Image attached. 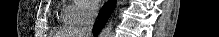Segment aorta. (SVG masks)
Listing matches in <instances>:
<instances>
[{"label":"aorta","instance_id":"obj_1","mask_svg":"<svg viewBox=\"0 0 219 37\" xmlns=\"http://www.w3.org/2000/svg\"><path fill=\"white\" fill-rule=\"evenodd\" d=\"M113 21H109L100 33V37H113Z\"/></svg>","mask_w":219,"mask_h":37}]
</instances>
